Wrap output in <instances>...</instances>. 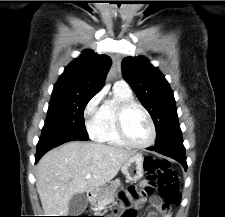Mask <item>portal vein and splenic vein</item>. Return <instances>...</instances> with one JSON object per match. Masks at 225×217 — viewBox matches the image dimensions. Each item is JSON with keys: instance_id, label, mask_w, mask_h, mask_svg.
<instances>
[{"instance_id": "1", "label": "portal vein and splenic vein", "mask_w": 225, "mask_h": 217, "mask_svg": "<svg viewBox=\"0 0 225 217\" xmlns=\"http://www.w3.org/2000/svg\"><path fill=\"white\" fill-rule=\"evenodd\" d=\"M90 177H91V175H90V174L86 175V178H87V179H89Z\"/></svg>"}]
</instances>
